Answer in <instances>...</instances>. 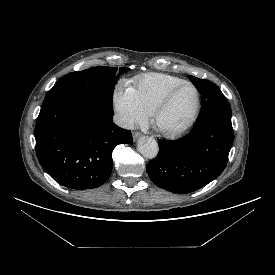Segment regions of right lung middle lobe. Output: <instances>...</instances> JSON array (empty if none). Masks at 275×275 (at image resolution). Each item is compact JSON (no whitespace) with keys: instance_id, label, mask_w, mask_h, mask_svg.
<instances>
[{"instance_id":"dd1d6c3e","label":"right lung middle lobe","mask_w":275,"mask_h":275,"mask_svg":"<svg viewBox=\"0 0 275 275\" xmlns=\"http://www.w3.org/2000/svg\"><path fill=\"white\" fill-rule=\"evenodd\" d=\"M129 68L92 67L79 72H71L61 78L48 92L46 99L66 95H88L113 106V90L117 82L116 74Z\"/></svg>"}]
</instances>
